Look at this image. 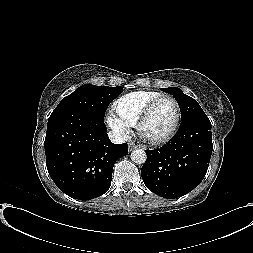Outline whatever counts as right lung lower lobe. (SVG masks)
Here are the masks:
<instances>
[{
    "label": "right lung lower lobe",
    "instance_id": "obj_1",
    "mask_svg": "<svg viewBox=\"0 0 253 253\" xmlns=\"http://www.w3.org/2000/svg\"><path fill=\"white\" fill-rule=\"evenodd\" d=\"M44 147L54 183L80 200L104 194L110 188L115 162L128 154L127 143L110 141L104 119L80 110L50 115Z\"/></svg>",
    "mask_w": 253,
    "mask_h": 253
}]
</instances>
